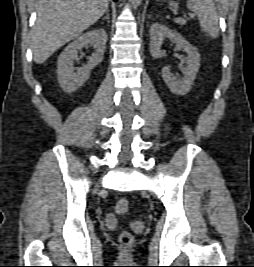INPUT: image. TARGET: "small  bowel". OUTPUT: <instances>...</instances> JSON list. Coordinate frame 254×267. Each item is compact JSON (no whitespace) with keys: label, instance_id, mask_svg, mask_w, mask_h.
<instances>
[{"label":"small bowel","instance_id":"obj_1","mask_svg":"<svg viewBox=\"0 0 254 267\" xmlns=\"http://www.w3.org/2000/svg\"><path fill=\"white\" fill-rule=\"evenodd\" d=\"M114 216L113 215H108L107 216V221L109 222V223H113L114 222Z\"/></svg>","mask_w":254,"mask_h":267}]
</instances>
